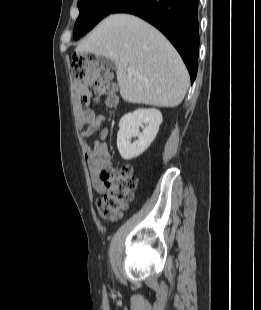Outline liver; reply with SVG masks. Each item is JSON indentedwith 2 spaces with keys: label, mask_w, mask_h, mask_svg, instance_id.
I'll return each instance as SVG.
<instances>
[{
  "label": "liver",
  "mask_w": 261,
  "mask_h": 310,
  "mask_svg": "<svg viewBox=\"0 0 261 310\" xmlns=\"http://www.w3.org/2000/svg\"><path fill=\"white\" fill-rule=\"evenodd\" d=\"M75 51L111 59L117 67L120 95L130 103L176 107L189 87L188 71L175 48L134 15H109ZM128 67L135 72L129 74Z\"/></svg>",
  "instance_id": "obj_1"
}]
</instances>
